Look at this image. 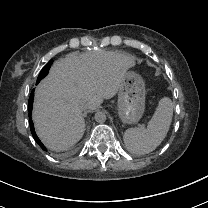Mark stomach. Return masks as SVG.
Here are the masks:
<instances>
[{"label":"stomach","instance_id":"0dacf381","mask_svg":"<svg viewBox=\"0 0 208 208\" xmlns=\"http://www.w3.org/2000/svg\"><path fill=\"white\" fill-rule=\"evenodd\" d=\"M116 112L126 125H136L145 112V86L136 73H128L119 89Z\"/></svg>","mask_w":208,"mask_h":208}]
</instances>
